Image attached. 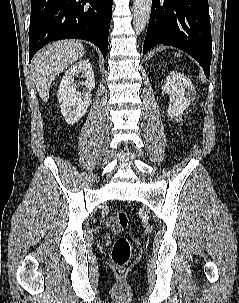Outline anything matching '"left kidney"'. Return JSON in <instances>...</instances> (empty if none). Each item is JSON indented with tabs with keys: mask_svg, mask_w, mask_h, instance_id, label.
<instances>
[{
	"mask_svg": "<svg viewBox=\"0 0 239 303\" xmlns=\"http://www.w3.org/2000/svg\"><path fill=\"white\" fill-rule=\"evenodd\" d=\"M162 90L170 96V103L167 110L168 116L178 121L196 97V91L192 82L181 73L172 71L167 76Z\"/></svg>",
	"mask_w": 239,
	"mask_h": 303,
	"instance_id": "obj_1",
	"label": "left kidney"
}]
</instances>
